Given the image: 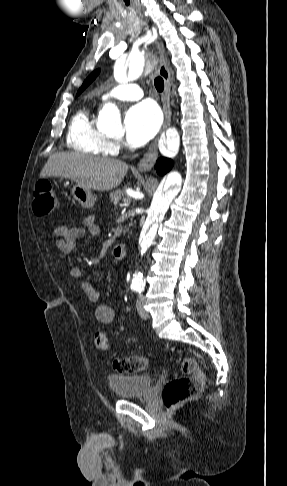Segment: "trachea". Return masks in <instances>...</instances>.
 I'll return each mask as SVG.
<instances>
[{
	"mask_svg": "<svg viewBox=\"0 0 287 486\" xmlns=\"http://www.w3.org/2000/svg\"><path fill=\"white\" fill-rule=\"evenodd\" d=\"M154 85L157 91L162 92L164 89V81L161 77H156L154 80Z\"/></svg>",
	"mask_w": 287,
	"mask_h": 486,
	"instance_id": "obj_1",
	"label": "trachea"
}]
</instances>
